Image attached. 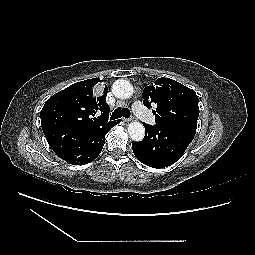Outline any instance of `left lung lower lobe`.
I'll return each mask as SVG.
<instances>
[{"label": "left lung lower lobe", "mask_w": 255, "mask_h": 255, "mask_svg": "<svg viewBox=\"0 0 255 255\" xmlns=\"http://www.w3.org/2000/svg\"><path fill=\"white\" fill-rule=\"evenodd\" d=\"M143 125L145 137L140 142H133L132 149L140 162L153 168H164L178 161L196 133L174 126Z\"/></svg>", "instance_id": "left-lung-lower-lobe-1"}]
</instances>
